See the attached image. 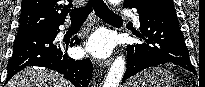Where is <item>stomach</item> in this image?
Instances as JSON below:
<instances>
[{
    "mask_svg": "<svg viewBox=\"0 0 205 87\" xmlns=\"http://www.w3.org/2000/svg\"><path fill=\"white\" fill-rule=\"evenodd\" d=\"M173 74L162 67H152L133 77L127 87H175Z\"/></svg>",
    "mask_w": 205,
    "mask_h": 87,
    "instance_id": "1",
    "label": "stomach"
}]
</instances>
